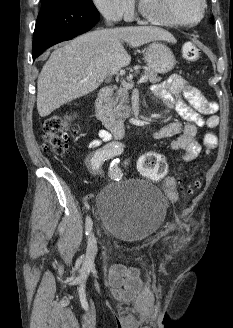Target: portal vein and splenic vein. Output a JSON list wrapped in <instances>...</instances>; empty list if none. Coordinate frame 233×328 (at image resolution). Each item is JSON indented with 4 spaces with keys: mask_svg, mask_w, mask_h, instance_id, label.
Returning a JSON list of instances; mask_svg holds the SVG:
<instances>
[{
    "mask_svg": "<svg viewBox=\"0 0 233 328\" xmlns=\"http://www.w3.org/2000/svg\"><path fill=\"white\" fill-rule=\"evenodd\" d=\"M127 79L129 81H131L132 80V77L131 76L130 77H127ZM146 81H147V77L143 76V77L140 78V80L138 81V83H144Z\"/></svg>",
    "mask_w": 233,
    "mask_h": 328,
    "instance_id": "18ae733b",
    "label": "portal vein and splenic vein"
}]
</instances>
